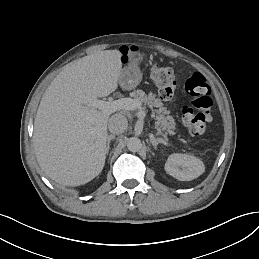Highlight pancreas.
<instances>
[{"instance_id": "cf45deb5", "label": "pancreas", "mask_w": 259, "mask_h": 259, "mask_svg": "<svg viewBox=\"0 0 259 259\" xmlns=\"http://www.w3.org/2000/svg\"><path fill=\"white\" fill-rule=\"evenodd\" d=\"M134 99L140 104H143L144 109L148 108L152 111L151 118L154 120V126H159L166 134H174L172 129L175 128L176 123L172 116H168L169 112L163 107V104L159 102L155 95L152 93L146 95L141 89H138L136 93H134Z\"/></svg>"}]
</instances>
